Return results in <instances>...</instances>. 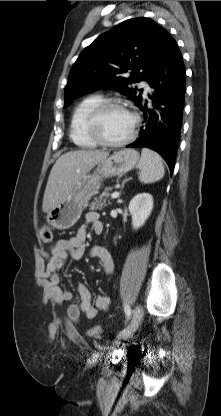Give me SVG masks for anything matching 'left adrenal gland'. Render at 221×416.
I'll return each mask as SVG.
<instances>
[{
  "instance_id": "a2214340",
  "label": "left adrenal gland",
  "mask_w": 221,
  "mask_h": 416,
  "mask_svg": "<svg viewBox=\"0 0 221 416\" xmlns=\"http://www.w3.org/2000/svg\"><path fill=\"white\" fill-rule=\"evenodd\" d=\"M132 178H126L125 180H123V182H122V184H121V189H123V187H124V185H125V183L127 182V181H129V180H131Z\"/></svg>"
}]
</instances>
